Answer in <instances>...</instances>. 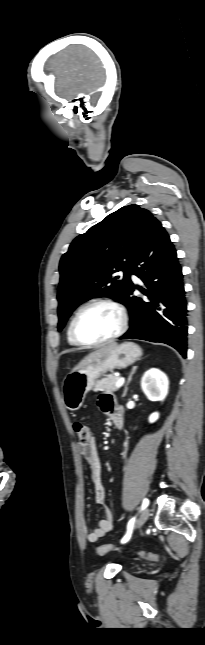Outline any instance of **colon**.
<instances>
[{
    "mask_svg": "<svg viewBox=\"0 0 205 645\" xmlns=\"http://www.w3.org/2000/svg\"><path fill=\"white\" fill-rule=\"evenodd\" d=\"M73 429L80 441L81 444H88L91 440V430L90 428L84 424L83 422L76 421L73 424ZM117 550V547L113 544H104L101 546H98L96 548V553L98 555H104L110 551ZM139 555L143 558L149 559V560H157L158 557L155 554L152 553H146V552H140Z\"/></svg>",
    "mask_w": 205,
    "mask_h": 645,
    "instance_id": "5ec220e1",
    "label": "colon"
}]
</instances>
